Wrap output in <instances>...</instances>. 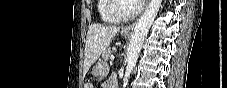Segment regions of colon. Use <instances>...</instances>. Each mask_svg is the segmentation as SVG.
<instances>
[{"mask_svg":"<svg viewBox=\"0 0 227 88\" xmlns=\"http://www.w3.org/2000/svg\"><path fill=\"white\" fill-rule=\"evenodd\" d=\"M85 87H86V88H91L90 84H87Z\"/></svg>","mask_w":227,"mask_h":88,"instance_id":"colon-1","label":"colon"}]
</instances>
